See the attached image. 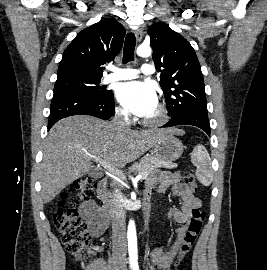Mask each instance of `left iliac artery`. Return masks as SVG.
Segmentation results:
<instances>
[{"instance_id": "obj_1", "label": "left iliac artery", "mask_w": 267, "mask_h": 270, "mask_svg": "<svg viewBox=\"0 0 267 270\" xmlns=\"http://www.w3.org/2000/svg\"><path fill=\"white\" fill-rule=\"evenodd\" d=\"M133 270H140V269H139L138 265H134Z\"/></svg>"}]
</instances>
